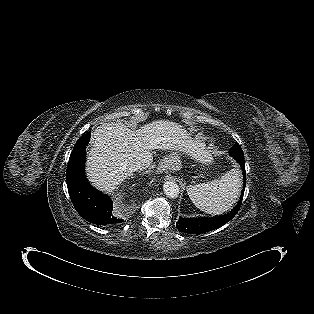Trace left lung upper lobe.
Segmentation results:
<instances>
[{"label": "left lung upper lobe", "instance_id": "left-lung-upper-lobe-1", "mask_svg": "<svg viewBox=\"0 0 314 314\" xmlns=\"http://www.w3.org/2000/svg\"><path fill=\"white\" fill-rule=\"evenodd\" d=\"M229 153L231 156H233L235 159H244V154L242 151V148L238 143L234 144L231 149L229 150Z\"/></svg>", "mask_w": 314, "mask_h": 314}]
</instances>
